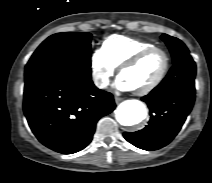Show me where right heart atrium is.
<instances>
[{
  "label": "right heart atrium",
  "mask_w": 212,
  "mask_h": 183,
  "mask_svg": "<svg viewBox=\"0 0 212 183\" xmlns=\"http://www.w3.org/2000/svg\"><path fill=\"white\" fill-rule=\"evenodd\" d=\"M91 75L95 85L99 88H106L113 77L116 67L109 59L103 48L97 49L90 62Z\"/></svg>",
  "instance_id": "d8ad5b80"
}]
</instances>
